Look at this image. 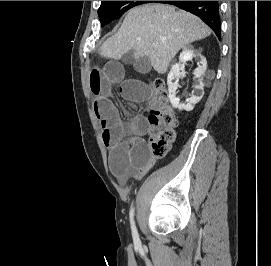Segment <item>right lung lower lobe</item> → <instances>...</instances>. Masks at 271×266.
Wrapping results in <instances>:
<instances>
[{
  "label": "right lung lower lobe",
  "mask_w": 271,
  "mask_h": 266,
  "mask_svg": "<svg viewBox=\"0 0 271 266\" xmlns=\"http://www.w3.org/2000/svg\"><path fill=\"white\" fill-rule=\"evenodd\" d=\"M175 5L200 17L220 38L221 22L218 1H151Z\"/></svg>",
  "instance_id": "98d812e1"
}]
</instances>
